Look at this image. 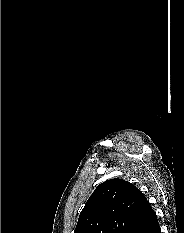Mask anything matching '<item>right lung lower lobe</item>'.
<instances>
[{
	"instance_id": "98d812e1",
	"label": "right lung lower lobe",
	"mask_w": 184,
	"mask_h": 233,
	"mask_svg": "<svg viewBox=\"0 0 184 233\" xmlns=\"http://www.w3.org/2000/svg\"><path fill=\"white\" fill-rule=\"evenodd\" d=\"M131 233H161V229L155 212H153L142 224L135 228Z\"/></svg>"
}]
</instances>
